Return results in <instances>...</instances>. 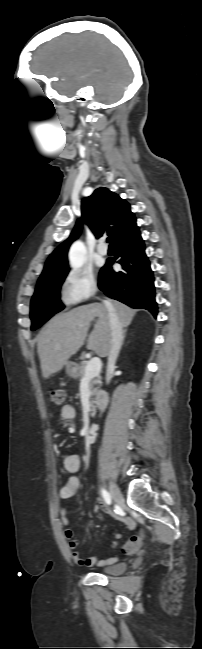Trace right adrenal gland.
Here are the masks:
<instances>
[{
    "label": "right adrenal gland",
    "mask_w": 202,
    "mask_h": 649,
    "mask_svg": "<svg viewBox=\"0 0 202 649\" xmlns=\"http://www.w3.org/2000/svg\"><path fill=\"white\" fill-rule=\"evenodd\" d=\"M126 332H127V329H125V330L123 331V338H122L121 348H122V346L124 345V340H125V337H126Z\"/></svg>",
    "instance_id": "right-adrenal-gland-1"
}]
</instances>
